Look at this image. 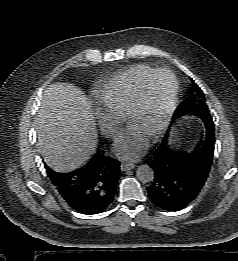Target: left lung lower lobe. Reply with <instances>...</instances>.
I'll list each match as a JSON object with an SVG mask.
<instances>
[{
    "label": "left lung lower lobe",
    "instance_id": "1",
    "mask_svg": "<svg viewBox=\"0 0 238 261\" xmlns=\"http://www.w3.org/2000/svg\"><path fill=\"white\" fill-rule=\"evenodd\" d=\"M199 117L206 126V141L201 148L191 153L175 154L170 151L165 138L149 163L154 171V181L147 188L148 196L161 209L177 211L186 207L198 195L208 177L215 129L211 117L206 114Z\"/></svg>",
    "mask_w": 238,
    "mask_h": 261
}]
</instances>
